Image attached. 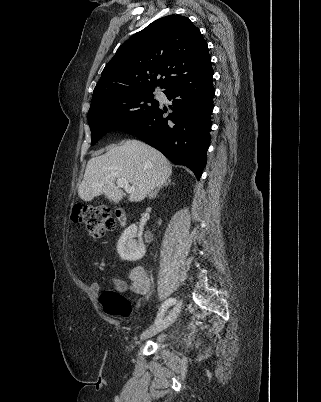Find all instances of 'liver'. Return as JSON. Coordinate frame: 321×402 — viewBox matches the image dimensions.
I'll return each instance as SVG.
<instances>
[{
    "label": "liver",
    "instance_id": "6515ba94",
    "mask_svg": "<svg viewBox=\"0 0 321 402\" xmlns=\"http://www.w3.org/2000/svg\"><path fill=\"white\" fill-rule=\"evenodd\" d=\"M171 173V164L162 153L139 140L129 139L88 161L78 195L84 201L104 195L110 202L119 203L124 192L115 181L124 178L135 187L129 201L140 202L151 190L167 182Z\"/></svg>",
    "mask_w": 321,
    "mask_h": 402
}]
</instances>
